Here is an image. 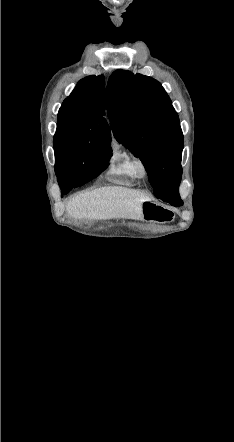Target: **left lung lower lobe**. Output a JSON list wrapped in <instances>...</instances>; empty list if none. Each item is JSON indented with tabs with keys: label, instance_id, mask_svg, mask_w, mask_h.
<instances>
[{
	"label": "left lung lower lobe",
	"instance_id": "obj_1",
	"mask_svg": "<svg viewBox=\"0 0 234 442\" xmlns=\"http://www.w3.org/2000/svg\"><path fill=\"white\" fill-rule=\"evenodd\" d=\"M168 203H170L173 206H180V205H182V200L179 198L178 200L171 201V202H168Z\"/></svg>",
	"mask_w": 234,
	"mask_h": 442
}]
</instances>
